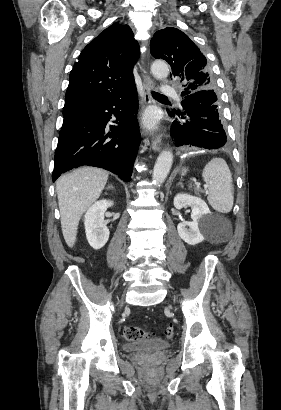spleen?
<instances>
[{
	"instance_id": "obj_1",
	"label": "spleen",
	"mask_w": 281,
	"mask_h": 410,
	"mask_svg": "<svg viewBox=\"0 0 281 410\" xmlns=\"http://www.w3.org/2000/svg\"><path fill=\"white\" fill-rule=\"evenodd\" d=\"M202 177L208 188L209 204L220 213L230 212L234 196L232 175L226 161L222 158L211 159L204 167Z\"/></svg>"
}]
</instances>
